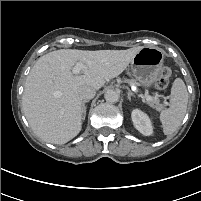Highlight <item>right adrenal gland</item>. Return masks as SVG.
<instances>
[{
    "label": "right adrenal gland",
    "instance_id": "right-adrenal-gland-1",
    "mask_svg": "<svg viewBox=\"0 0 201 201\" xmlns=\"http://www.w3.org/2000/svg\"><path fill=\"white\" fill-rule=\"evenodd\" d=\"M88 102V100H84L82 102V116H83V120H85V117H86V103Z\"/></svg>",
    "mask_w": 201,
    "mask_h": 201
}]
</instances>
